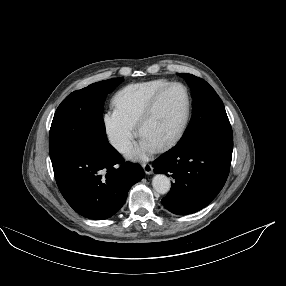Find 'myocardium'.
Segmentation results:
<instances>
[{
	"instance_id": "1",
	"label": "myocardium",
	"mask_w": 286,
	"mask_h": 286,
	"mask_svg": "<svg viewBox=\"0 0 286 286\" xmlns=\"http://www.w3.org/2000/svg\"><path fill=\"white\" fill-rule=\"evenodd\" d=\"M175 87L181 88L184 92V95H185L184 113L182 116V120L179 126L177 127V129L166 140H164L162 143L155 146V150L157 152H165L168 149L172 148L179 141V139L183 135L188 125V122L190 119V113H191V97H190L187 87L182 83L173 82L163 87L162 89H160L146 104L137 122V129H138L139 134L141 135L144 124L147 122V120L150 118V116L154 112V109L157 103L159 102V100L161 99V97L167 91Z\"/></svg>"
}]
</instances>
